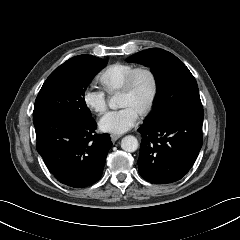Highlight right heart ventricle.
<instances>
[{
    "mask_svg": "<svg viewBox=\"0 0 240 240\" xmlns=\"http://www.w3.org/2000/svg\"><path fill=\"white\" fill-rule=\"evenodd\" d=\"M135 68L133 64L117 62L106 67L98 76L103 89L114 94L119 92L128 74Z\"/></svg>",
    "mask_w": 240,
    "mask_h": 240,
    "instance_id": "obj_1",
    "label": "right heart ventricle"
}]
</instances>
